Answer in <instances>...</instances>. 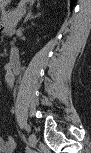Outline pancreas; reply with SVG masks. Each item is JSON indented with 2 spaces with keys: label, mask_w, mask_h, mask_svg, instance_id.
Instances as JSON below:
<instances>
[{
  "label": "pancreas",
  "mask_w": 91,
  "mask_h": 153,
  "mask_svg": "<svg viewBox=\"0 0 91 153\" xmlns=\"http://www.w3.org/2000/svg\"><path fill=\"white\" fill-rule=\"evenodd\" d=\"M24 10L16 9L10 13H3L2 14V23L5 29H12L14 30L15 24L18 23L21 15L23 14Z\"/></svg>",
  "instance_id": "cf45deb5"
}]
</instances>
